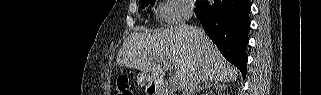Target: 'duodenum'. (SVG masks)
Returning <instances> with one entry per match:
<instances>
[{
  "label": "duodenum",
  "instance_id": "410a0bca",
  "mask_svg": "<svg viewBox=\"0 0 321 95\" xmlns=\"http://www.w3.org/2000/svg\"><path fill=\"white\" fill-rule=\"evenodd\" d=\"M150 85H154V80H149ZM157 94H162V93H157Z\"/></svg>",
  "mask_w": 321,
  "mask_h": 95
}]
</instances>
